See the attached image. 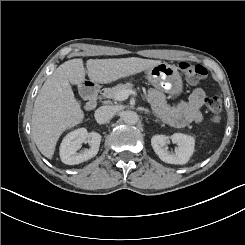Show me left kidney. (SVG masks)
Instances as JSON below:
<instances>
[{
  "mask_svg": "<svg viewBox=\"0 0 245 245\" xmlns=\"http://www.w3.org/2000/svg\"><path fill=\"white\" fill-rule=\"evenodd\" d=\"M170 139L178 147L175 153L168 151L167 144L169 137L165 135H154L151 138V145L159 158L169 164H186L194 152L195 139L192 136L182 133H174Z\"/></svg>",
  "mask_w": 245,
  "mask_h": 245,
  "instance_id": "obj_1",
  "label": "left kidney"
}]
</instances>
